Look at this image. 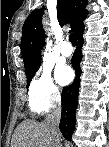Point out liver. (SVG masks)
<instances>
[{"instance_id": "1", "label": "liver", "mask_w": 109, "mask_h": 147, "mask_svg": "<svg viewBox=\"0 0 109 147\" xmlns=\"http://www.w3.org/2000/svg\"><path fill=\"white\" fill-rule=\"evenodd\" d=\"M11 147H53L48 126L35 120L22 121L12 136Z\"/></svg>"}]
</instances>
